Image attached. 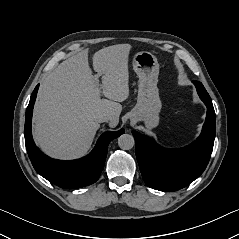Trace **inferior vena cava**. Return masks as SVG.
Listing matches in <instances>:
<instances>
[{
  "mask_svg": "<svg viewBox=\"0 0 239 239\" xmlns=\"http://www.w3.org/2000/svg\"><path fill=\"white\" fill-rule=\"evenodd\" d=\"M111 119V116L109 114L103 113V114H99L96 116V121L99 123L102 122H107Z\"/></svg>",
  "mask_w": 239,
  "mask_h": 239,
  "instance_id": "602c4592",
  "label": "inferior vena cava"
}]
</instances>
